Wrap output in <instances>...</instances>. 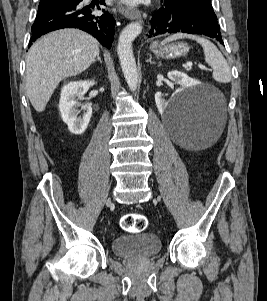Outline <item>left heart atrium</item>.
<instances>
[{"instance_id":"39dd6f15","label":"left heart atrium","mask_w":267,"mask_h":301,"mask_svg":"<svg viewBox=\"0 0 267 301\" xmlns=\"http://www.w3.org/2000/svg\"><path fill=\"white\" fill-rule=\"evenodd\" d=\"M125 2L129 3V4H134L137 2V0H124Z\"/></svg>"}]
</instances>
